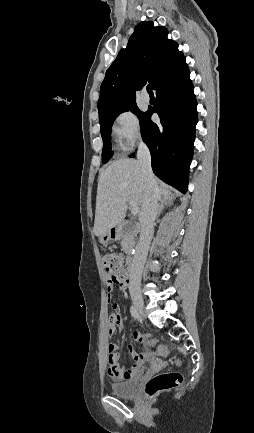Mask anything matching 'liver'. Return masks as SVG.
Returning a JSON list of instances; mask_svg holds the SVG:
<instances>
[{"mask_svg":"<svg viewBox=\"0 0 254 433\" xmlns=\"http://www.w3.org/2000/svg\"><path fill=\"white\" fill-rule=\"evenodd\" d=\"M158 199L170 197L168 188L155 178ZM146 185L138 160L123 158L112 162L99 176L96 196L94 233L101 237L122 222L127 203L133 201L142 208Z\"/></svg>","mask_w":254,"mask_h":433,"instance_id":"obj_1","label":"liver"}]
</instances>
